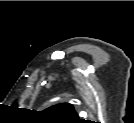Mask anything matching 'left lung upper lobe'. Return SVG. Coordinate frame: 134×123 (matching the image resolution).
I'll return each instance as SVG.
<instances>
[{
    "label": "left lung upper lobe",
    "instance_id": "5c2ea615",
    "mask_svg": "<svg viewBox=\"0 0 134 123\" xmlns=\"http://www.w3.org/2000/svg\"><path fill=\"white\" fill-rule=\"evenodd\" d=\"M44 112L58 120L74 123L80 120L77 113L74 111V107L69 103L56 104L47 108Z\"/></svg>",
    "mask_w": 134,
    "mask_h": 123
}]
</instances>
